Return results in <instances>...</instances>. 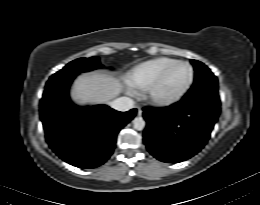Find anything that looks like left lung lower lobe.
<instances>
[{
	"label": "left lung lower lobe",
	"mask_w": 260,
	"mask_h": 205,
	"mask_svg": "<svg viewBox=\"0 0 260 205\" xmlns=\"http://www.w3.org/2000/svg\"><path fill=\"white\" fill-rule=\"evenodd\" d=\"M219 112V103L186 97L169 107L144 108V143L160 161L187 160L204 147Z\"/></svg>",
	"instance_id": "obj_1"
}]
</instances>
